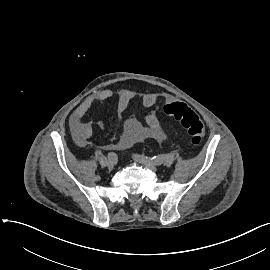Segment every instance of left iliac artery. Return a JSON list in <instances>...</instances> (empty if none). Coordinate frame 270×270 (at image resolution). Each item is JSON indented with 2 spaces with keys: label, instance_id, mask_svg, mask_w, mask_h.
<instances>
[{
  "label": "left iliac artery",
  "instance_id": "1",
  "mask_svg": "<svg viewBox=\"0 0 270 270\" xmlns=\"http://www.w3.org/2000/svg\"><path fill=\"white\" fill-rule=\"evenodd\" d=\"M168 159L167 155H158V156H154L152 157L150 160L156 164V165H161L162 163H164L166 160Z\"/></svg>",
  "mask_w": 270,
  "mask_h": 270
}]
</instances>
